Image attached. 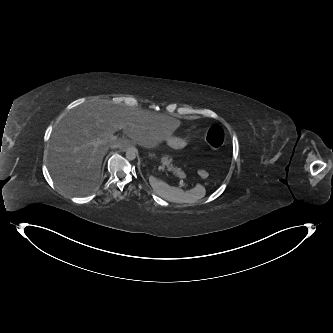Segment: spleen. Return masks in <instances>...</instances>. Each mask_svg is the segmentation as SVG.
Masks as SVG:
<instances>
[{"label":"spleen","mask_w":333,"mask_h":333,"mask_svg":"<svg viewBox=\"0 0 333 333\" xmlns=\"http://www.w3.org/2000/svg\"><path fill=\"white\" fill-rule=\"evenodd\" d=\"M149 182L157 195L173 202L193 203L203 198L206 194L205 188L200 184H197L191 190L183 191L180 188L171 187L166 182L156 178L154 175L149 176Z\"/></svg>","instance_id":"obj_1"}]
</instances>
